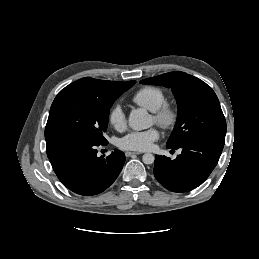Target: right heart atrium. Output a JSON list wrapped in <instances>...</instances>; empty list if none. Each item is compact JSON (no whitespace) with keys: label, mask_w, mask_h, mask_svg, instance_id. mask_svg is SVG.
<instances>
[{"label":"right heart atrium","mask_w":259,"mask_h":259,"mask_svg":"<svg viewBox=\"0 0 259 259\" xmlns=\"http://www.w3.org/2000/svg\"><path fill=\"white\" fill-rule=\"evenodd\" d=\"M108 121L118 131H121L126 127V115L120 105L111 108L108 114Z\"/></svg>","instance_id":"1"}]
</instances>
